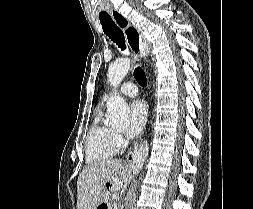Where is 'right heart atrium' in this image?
I'll return each instance as SVG.
<instances>
[{"instance_id":"1","label":"right heart atrium","mask_w":253,"mask_h":209,"mask_svg":"<svg viewBox=\"0 0 253 209\" xmlns=\"http://www.w3.org/2000/svg\"><path fill=\"white\" fill-rule=\"evenodd\" d=\"M115 140H116L117 144H120V143H121V141H122V137H121V135H120V134H118V133H115Z\"/></svg>"}]
</instances>
